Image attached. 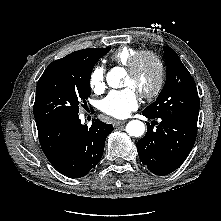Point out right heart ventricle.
Masks as SVG:
<instances>
[{
	"instance_id": "obj_1",
	"label": "right heart ventricle",
	"mask_w": 221,
	"mask_h": 221,
	"mask_svg": "<svg viewBox=\"0 0 221 221\" xmlns=\"http://www.w3.org/2000/svg\"><path fill=\"white\" fill-rule=\"evenodd\" d=\"M139 51L141 50L137 48L122 46L111 55L110 59L119 66L127 67Z\"/></svg>"
}]
</instances>
